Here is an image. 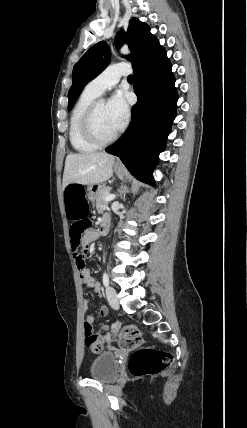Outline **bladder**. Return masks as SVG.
<instances>
[{
	"instance_id": "bladder-1",
	"label": "bladder",
	"mask_w": 247,
	"mask_h": 428,
	"mask_svg": "<svg viewBox=\"0 0 247 428\" xmlns=\"http://www.w3.org/2000/svg\"><path fill=\"white\" fill-rule=\"evenodd\" d=\"M92 379L100 382L112 381L118 373V359L111 351L100 352L93 360L89 370Z\"/></svg>"
}]
</instances>
